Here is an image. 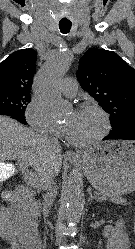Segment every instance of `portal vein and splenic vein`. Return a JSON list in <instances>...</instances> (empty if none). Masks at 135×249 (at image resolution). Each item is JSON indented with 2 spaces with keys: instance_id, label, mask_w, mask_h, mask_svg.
<instances>
[{
  "instance_id": "portal-vein-and-splenic-vein-1",
  "label": "portal vein and splenic vein",
  "mask_w": 135,
  "mask_h": 249,
  "mask_svg": "<svg viewBox=\"0 0 135 249\" xmlns=\"http://www.w3.org/2000/svg\"><path fill=\"white\" fill-rule=\"evenodd\" d=\"M28 165V162H19V168L21 170V173L23 174L24 179L29 185L38 188V178L28 170ZM14 170L15 168L12 164H0V178L12 175ZM102 199H106V197L103 196Z\"/></svg>"
}]
</instances>
